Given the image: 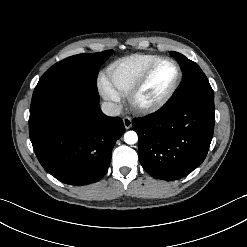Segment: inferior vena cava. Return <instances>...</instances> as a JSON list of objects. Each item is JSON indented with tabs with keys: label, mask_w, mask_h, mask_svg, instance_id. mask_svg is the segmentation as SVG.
<instances>
[{
	"label": "inferior vena cava",
	"mask_w": 247,
	"mask_h": 247,
	"mask_svg": "<svg viewBox=\"0 0 247 247\" xmlns=\"http://www.w3.org/2000/svg\"><path fill=\"white\" fill-rule=\"evenodd\" d=\"M102 112L107 116H119L121 106L113 102H103L101 105Z\"/></svg>",
	"instance_id": "inferior-vena-cava-1"
}]
</instances>
